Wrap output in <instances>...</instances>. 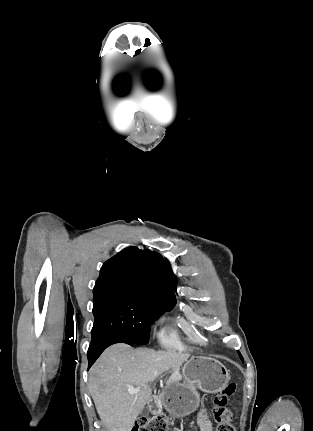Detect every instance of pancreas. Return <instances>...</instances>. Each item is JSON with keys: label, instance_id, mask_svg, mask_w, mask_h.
Masks as SVG:
<instances>
[{"label": "pancreas", "instance_id": "obj_1", "mask_svg": "<svg viewBox=\"0 0 313 431\" xmlns=\"http://www.w3.org/2000/svg\"><path fill=\"white\" fill-rule=\"evenodd\" d=\"M182 379V377L181 376H179L178 378H177V380H181Z\"/></svg>", "mask_w": 313, "mask_h": 431}]
</instances>
